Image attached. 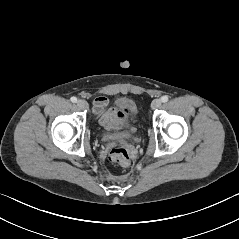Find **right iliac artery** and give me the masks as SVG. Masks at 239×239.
Listing matches in <instances>:
<instances>
[{
    "mask_svg": "<svg viewBox=\"0 0 239 239\" xmlns=\"http://www.w3.org/2000/svg\"><path fill=\"white\" fill-rule=\"evenodd\" d=\"M73 103H76L77 102V98L76 97H71V99H70Z\"/></svg>",
    "mask_w": 239,
    "mask_h": 239,
    "instance_id": "right-iliac-artery-1",
    "label": "right iliac artery"
}]
</instances>
